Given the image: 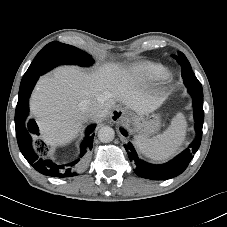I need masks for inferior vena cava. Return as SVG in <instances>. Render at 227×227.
<instances>
[{
  "mask_svg": "<svg viewBox=\"0 0 227 227\" xmlns=\"http://www.w3.org/2000/svg\"><path fill=\"white\" fill-rule=\"evenodd\" d=\"M81 107L87 116H96L102 109L100 103L92 100H85L81 103Z\"/></svg>",
  "mask_w": 227,
  "mask_h": 227,
  "instance_id": "1",
  "label": "inferior vena cava"
}]
</instances>
